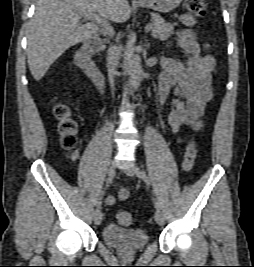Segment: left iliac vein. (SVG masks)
I'll list each match as a JSON object with an SVG mask.
<instances>
[{"instance_id": "left-iliac-vein-1", "label": "left iliac vein", "mask_w": 254, "mask_h": 267, "mask_svg": "<svg viewBox=\"0 0 254 267\" xmlns=\"http://www.w3.org/2000/svg\"><path fill=\"white\" fill-rule=\"evenodd\" d=\"M125 173L128 176L133 177L136 174V167L135 166L127 167L125 169ZM154 219L157 222V224H159V225L164 224V222H165L164 215L160 209H156L155 214H154Z\"/></svg>"}]
</instances>
